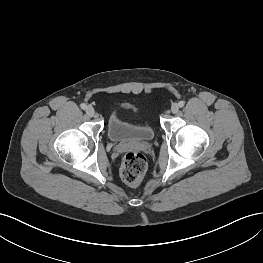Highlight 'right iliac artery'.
<instances>
[{
	"mask_svg": "<svg viewBox=\"0 0 263 263\" xmlns=\"http://www.w3.org/2000/svg\"><path fill=\"white\" fill-rule=\"evenodd\" d=\"M80 107H81L83 110H85V109L87 108V105H86L85 103H82V104L80 105Z\"/></svg>",
	"mask_w": 263,
	"mask_h": 263,
	"instance_id": "1",
	"label": "right iliac artery"
}]
</instances>
